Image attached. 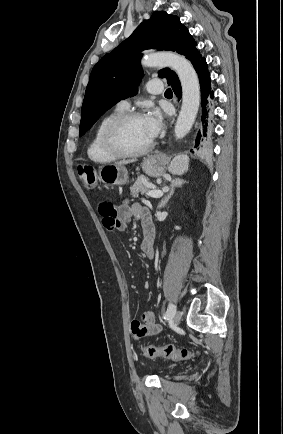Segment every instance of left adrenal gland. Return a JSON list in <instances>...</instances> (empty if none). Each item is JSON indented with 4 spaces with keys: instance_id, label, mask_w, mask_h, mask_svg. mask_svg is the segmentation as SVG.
Segmentation results:
<instances>
[{
    "instance_id": "left-adrenal-gland-1",
    "label": "left adrenal gland",
    "mask_w": 283,
    "mask_h": 434,
    "mask_svg": "<svg viewBox=\"0 0 283 434\" xmlns=\"http://www.w3.org/2000/svg\"><path fill=\"white\" fill-rule=\"evenodd\" d=\"M183 183L184 182L181 179H174V180L171 181V185H170L171 186V190H170L169 194L165 198H163L161 200V202H160V204L158 206V209L163 208L168 203V201L170 200V198L173 196L175 189L177 187H181Z\"/></svg>"
}]
</instances>
